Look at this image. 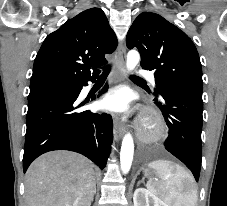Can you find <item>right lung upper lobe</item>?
Returning a JSON list of instances; mask_svg holds the SVG:
<instances>
[{
  "instance_id": "1",
  "label": "right lung upper lobe",
  "mask_w": 227,
  "mask_h": 206,
  "mask_svg": "<svg viewBox=\"0 0 227 206\" xmlns=\"http://www.w3.org/2000/svg\"><path fill=\"white\" fill-rule=\"evenodd\" d=\"M117 47L114 31L99 8L87 9L49 34L34 61L31 83L60 80L83 83L98 77L96 66Z\"/></svg>"
}]
</instances>
